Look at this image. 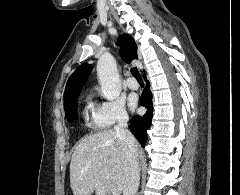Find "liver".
Here are the masks:
<instances>
[{
	"mask_svg": "<svg viewBox=\"0 0 240 195\" xmlns=\"http://www.w3.org/2000/svg\"><path fill=\"white\" fill-rule=\"evenodd\" d=\"M139 153V151H138ZM129 151L114 129H103L83 137L70 161L73 195L122 193L129 177Z\"/></svg>",
	"mask_w": 240,
	"mask_h": 195,
	"instance_id": "obj_1",
	"label": "liver"
}]
</instances>
